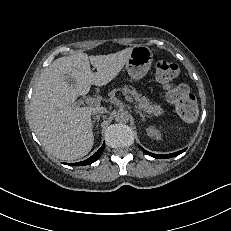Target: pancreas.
Returning a JSON list of instances; mask_svg holds the SVG:
<instances>
[{"mask_svg":"<svg viewBox=\"0 0 231 231\" xmlns=\"http://www.w3.org/2000/svg\"><path fill=\"white\" fill-rule=\"evenodd\" d=\"M117 90H121L124 94H130L137 102V108L143 110L144 112L154 114L155 116H160L164 113V110L160 105L149 102L146 97H142L141 94H139L134 88L130 89L128 86H123Z\"/></svg>","mask_w":231,"mask_h":231,"instance_id":"cf45deb5","label":"pancreas"}]
</instances>
